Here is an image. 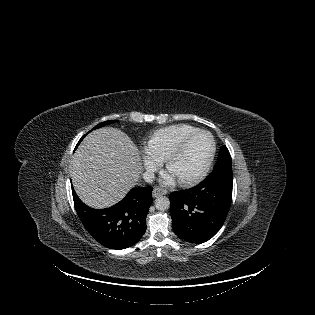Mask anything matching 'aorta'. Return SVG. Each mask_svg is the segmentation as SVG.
Returning a JSON list of instances; mask_svg holds the SVG:
<instances>
[{
    "label": "aorta",
    "instance_id": "762f6f07",
    "mask_svg": "<svg viewBox=\"0 0 315 315\" xmlns=\"http://www.w3.org/2000/svg\"><path fill=\"white\" fill-rule=\"evenodd\" d=\"M155 207L159 210V211H165L167 209H169L170 207V201L167 197L165 196H160L155 200Z\"/></svg>",
    "mask_w": 315,
    "mask_h": 315
}]
</instances>
